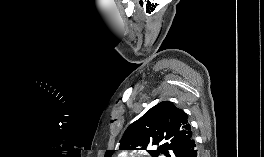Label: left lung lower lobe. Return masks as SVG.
Returning <instances> with one entry per match:
<instances>
[{"mask_svg":"<svg viewBox=\"0 0 264 157\" xmlns=\"http://www.w3.org/2000/svg\"><path fill=\"white\" fill-rule=\"evenodd\" d=\"M182 157H199L195 140L192 139L184 148L182 152Z\"/></svg>","mask_w":264,"mask_h":157,"instance_id":"0a47b994","label":"left lung lower lobe"}]
</instances>
